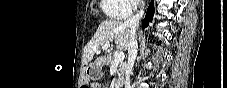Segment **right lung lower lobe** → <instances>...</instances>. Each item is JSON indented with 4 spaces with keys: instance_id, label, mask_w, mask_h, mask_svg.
<instances>
[{
    "instance_id": "1",
    "label": "right lung lower lobe",
    "mask_w": 227,
    "mask_h": 88,
    "mask_svg": "<svg viewBox=\"0 0 227 88\" xmlns=\"http://www.w3.org/2000/svg\"><path fill=\"white\" fill-rule=\"evenodd\" d=\"M153 14H154V0H152L151 3L149 4V7L146 12V16L142 21V25L144 28L147 27L149 25V22L152 21Z\"/></svg>"
}]
</instances>
